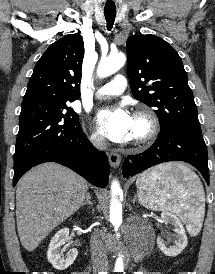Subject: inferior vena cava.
I'll return each mask as SVG.
<instances>
[{
	"mask_svg": "<svg viewBox=\"0 0 215 274\" xmlns=\"http://www.w3.org/2000/svg\"><path fill=\"white\" fill-rule=\"evenodd\" d=\"M93 145L100 150H105L107 144L103 137L94 136L91 139ZM91 259L94 271H106L108 269V259L106 249L102 243L98 232H94L90 241Z\"/></svg>",
	"mask_w": 215,
	"mask_h": 274,
	"instance_id": "obj_1",
	"label": "inferior vena cava"
}]
</instances>
